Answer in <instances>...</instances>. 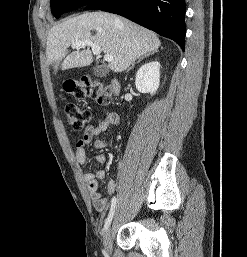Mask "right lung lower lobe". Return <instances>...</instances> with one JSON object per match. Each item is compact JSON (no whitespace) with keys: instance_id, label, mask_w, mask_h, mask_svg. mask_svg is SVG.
<instances>
[{"instance_id":"right-lung-lower-lobe-1","label":"right lung lower lobe","mask_w":247,"mask_h":257,"mask_svg":"<svg viewBox=\"0 0 247 257\" xmlns=\"http://www.w3.org/2000/svg\"><path fill=\"white\" fill-rule=\"evenodd\" d=\"M85 9L121 15L185 49V0H94Z\"/></svg>"}]
</instances>
